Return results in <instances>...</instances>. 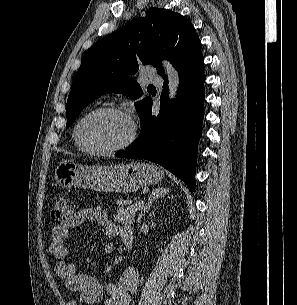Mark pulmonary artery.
<instances>
[{
	"label": "pulmonary artery",
	"instance_id": "1",
	"mask_svg": "<svg viewBox=\"0 0 297 305\" xmlns=\"http://www.w3.org/2000/svg\"><path fill=\"white\" fill-rule=\"evenodd\" d=\"M148 76H149V81L153 84H161L162 83V79L160 76H158L155 71L153 69H150L148 71Z\"/></svg>",
	"mask_w": 297,
	"mask_h": 305
}]
</instances>
